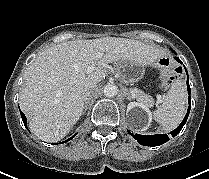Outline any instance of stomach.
Here are the masks:
<instances>
[{
    "label": "stomach",
    "instance_id": "1",
    "mask_svg": "<svg viewBox=\"0 0 209 179\" xmlns=\"http://www.w3.org/2000/svg\"><path fill=\"white\" fill-rule=\"evenodd\" d=\"M121 81L125 84H131L141 80L145 74V67L134 61L120 63Z\"/></svg>",
    "mask_w": 209,
    "mask_h": 179
}]
</instances>
